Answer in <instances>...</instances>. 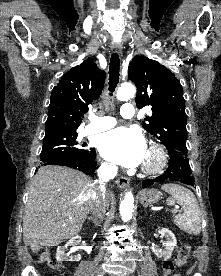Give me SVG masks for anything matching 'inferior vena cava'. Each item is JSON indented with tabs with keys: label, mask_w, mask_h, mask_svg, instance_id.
Instances as JSON below:
<instances>
[{
	"label": "inferior vena cava",
	"mask_w": 221,
	"mask_h": 276,
	"mask_svg": "<svg viewBox=\"0 0 221 276\" xmlns=\"http://www.w3.org/2000/svg\"><path fill=\"white\" fill-rule=\"evenodd\" d=\"M117 167L102 164L98 170L99 180L96 182V187L94 190V194L92 196L90 211L92 213V218L95 220L102 221L106 211V188L105 184L110 179L114 178L117 175Z\"/></svg>",
	"instance_id": "1"
}]
</instances>
